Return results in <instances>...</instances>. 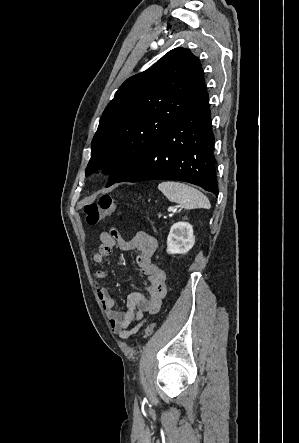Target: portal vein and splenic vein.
<instances>
[{
    "label": "portal vein and splenic vein",
    "instance_id": "18ae733b",
    "mask_svg": "<svg viewBox=\"0 0 299 443\" xmlns=\"http://www.w3.org/2000/svg\"><path fill=\"white\" fill-rule=\"evenodd\" d=\"M168 211L170 212V211H173V207H170L169 209H168Z\"/></svg>",
    "mask_w": 299,
    "mask_h": 443
}]
</instances>
